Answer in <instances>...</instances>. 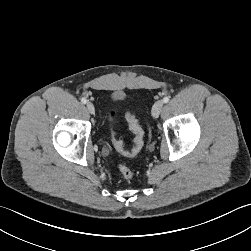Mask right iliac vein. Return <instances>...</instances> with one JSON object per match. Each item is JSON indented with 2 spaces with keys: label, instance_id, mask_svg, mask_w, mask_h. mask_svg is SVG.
Segmentation results:
<instances>
[{
  "label": "right iliac vein",
  "instance_id": "obj_1",
  "mask_svg": "<svg viewBox=\"0 0 251 251\" xmlns=\"http://www.w3.org/2000/svg\"><path fill=\"white\" fill-rule=\"evenodd\" d=\"M86 107H87V110H88L89 113L94 114V112H95V107H94V105H93L91 102H88V103L86 104Z\"/></svg>",
  "mask_w": 251,
  "mask_h": 251
}]
</instances>
